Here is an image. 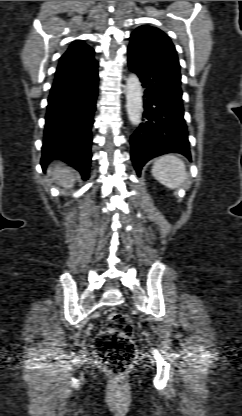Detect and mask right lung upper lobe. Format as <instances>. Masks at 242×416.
<instances>
[{"instance_id": "right-lung-upper-lobe-1", "label": "right lung upper lobe", "mask_w": 242, "mask_h": 416, "mask_svg": "<svg viewBox=\"0 0 242 416\" xmlns=\"http://www.w3.org/2000/svg\"><path fill=\"white\" fill-rule=\"evenodd\" d=\"M94 50L81 40L72 42L65 54L60 58L55 81H64L85 77L98 67Z\"/></svg>"}]
</instances>
